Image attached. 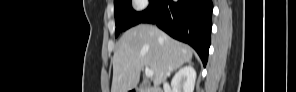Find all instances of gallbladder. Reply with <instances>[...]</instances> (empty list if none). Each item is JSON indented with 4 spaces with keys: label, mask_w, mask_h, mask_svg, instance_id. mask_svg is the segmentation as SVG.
Here are the masks:
<instances>
[{
    "label": "gallbladder",
    "mask_w": 296,
    "mask_h": 92,
    "mask_svg": "<svg viewBox=\"0 0 296 92\" xmlns=\"http://www.w3.org/2000/svg\"><path fill=\"white\" fill-rule=\"evenodd\" d=\"M140 88H141V89H144V88H145V85H144V84H142Z\"/></svg>",
    "instance_id": "bac80fb5"
}]
</instances>
